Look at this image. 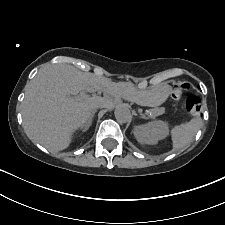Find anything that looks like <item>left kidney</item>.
I'll return each mask as SVG.
<instances>
[{
    "label": "left kidney",
    "instance_id": "left-kidney-1",
    "mask_svg": "<svg viewBox=\"0 0 225 225\" xmlns=\"http://www.w3.org/2000/svg\"><path fill=\"white\" fill-rule=\"evenodd\" d=\"M167 133V123L160 120L152 121L134 128V136L141 144H157V142L163 139Z\"/></svg>",
    "mask_w": 225,
    "mask_h": 225
}]
</instances>
